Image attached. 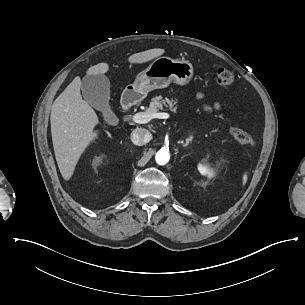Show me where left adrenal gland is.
<instances>
[{
  "label": "left adrenal gland",
  "mask_w": 305,
  "mask_h": 305,
  "mask_svg": "<svg viewBox=\"0 0 305 305\" xmlns=\"http://www.w3.org/2000/svg\"><path fill=\"white\" fill-rule=\"evenodd\" d=\"M193 139H194V137H191L190 139H186V143L184 141H182V146L184 148L188 147L192 143Z\"/></svg>",
  "instance_id": "left-adrenal-gland-1"
}]
</instances>
